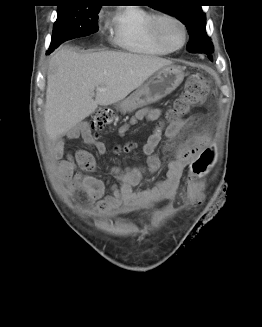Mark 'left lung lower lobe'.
I'll return each instance as SVG.
<instances>
[{
  "instance_id": "left-lung-lower-lobe-1",
  "label": "left lung lower lobe",
  "mask_w": 262,
  "mask_h": 327,
  "mask_svg": "<svg viewBox=\"0 0 262 327\" xmlns=\"http://www.w3.org/2000/svg\"><path fill=\"white\" fill-rule=\"evenodd\" d=\"M205 54H207V55H208V57H209L210 59H212V57H211V54H210V53H205Z\"/></svg>"
}]
</instances>
